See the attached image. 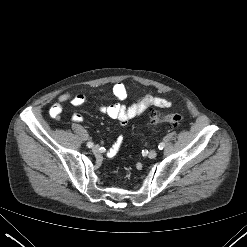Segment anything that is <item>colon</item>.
Returning a JSON list of instances; mask_svg holds the SVG:
<instances>
[{
  "label": "colon",
  "mask_w": 247,
  "mask_h": 247,
  "mask_svg": "<svg viewBox=\"0 0 247 247\" xmlns=\"http://www.w3.org/2000/svg\"><path fill=\"white\" fill-rule=\"evenodd\" d=\"M149 117L154 125L157 126L165 125L170 129L179 126L183 121L182 115L178 113L164 114V113H158L156 111H150Z\"/></svg>",
  "instance_id": "1"
}]
</instances>
